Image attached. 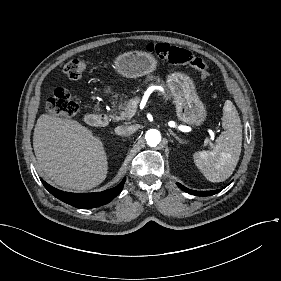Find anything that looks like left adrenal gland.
<instances>
[{"mask_svg":"<svg viewBox=\"0 0 281 281\" xmlns=\"http://www.w3.org/2000/svg\"><path fill=\"white\" fill-rule=\"evenodd\" d=\"M168 131L180 144L187 143V141H184L183 139L179 138L171 129H169Z\"/></svg>","mask_w":281,"mask_h":281,"instance_id":"left-adrenal-gland-1","label":"left adrenal gland"}]
</instances>
